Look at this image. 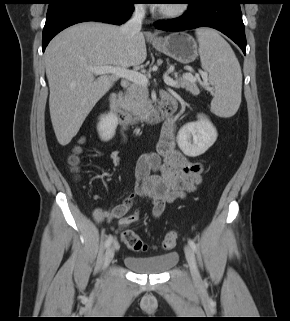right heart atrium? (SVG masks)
<instances>
[{"label": "right heart atrium", "instance_id": "right-heart-atrium-1", "mask_svg": "<svg viewBox=\"0 0 290 321\" xmlns=\"http://www.w3.org/2000/svg\"><path fill=\"white\" fill-rule=\"evenodd\" d=\"M135 10L138 12H141L143 10V6L141 5V3H137V5H135Z\"/></svg>", "mask_w": 290, "mask_h": 321}]
</instances>
